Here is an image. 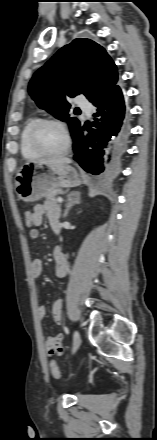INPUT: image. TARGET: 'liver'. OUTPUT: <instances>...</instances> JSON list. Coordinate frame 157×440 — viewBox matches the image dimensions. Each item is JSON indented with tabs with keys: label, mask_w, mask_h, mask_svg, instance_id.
I'll list each match as a JSON object with an SVG mask.
<instances>
[{
	"label": "liver",
	"mask_w": 157,
	"mask_h": 440,
	"mask_svg": "<svg viewBox=\"0 0 157 440\" xmlns=\"http://www.w3.org/2000/svg\"><path fill=\"white\" fill-rule=\"evenodd\" d=\"M37 162H43L47 165L56 166V165H64L71 163V159L67 157H60V158H52V159H41Z\"/></svg>",
	"instance_id": "liver-1"
}]
</instances>
